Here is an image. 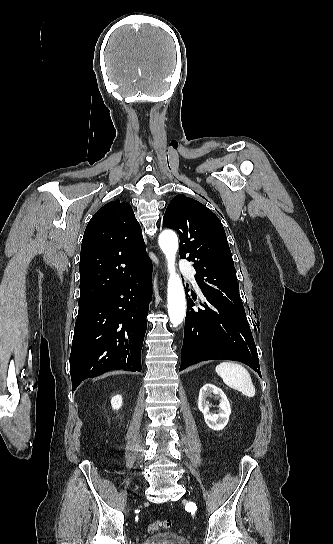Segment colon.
<instances>
[{
    "label": "colon",
    "mask_w": 333,
    "mask_h": 544,
    "mask_svg": "<svg viewBox=\"0 0 333 544\" xmlns=\"http://www.w3.org/2000/svg\"><path fill=\"white\" fill-rule=\"evenodd\" d=\"M170 525H171V523H170L169 520L153 521V522L149 523L146 526V528H147L148 532L153 533V532H156V531L160 530L161 528H169Z\"/></svg>",
    "instance_id": "5ec220e1"
}]
</instances>
